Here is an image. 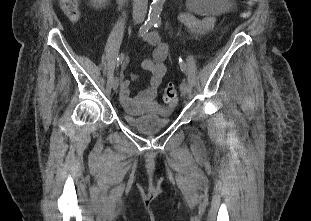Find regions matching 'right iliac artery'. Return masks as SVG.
Wrapping results in <instances>:
<instances>
[{"label": "right iliac artery", "instance_id": "82829eb1", "mask_svg": "<svg viewBox=\"0 0 311 221\" xmlns=\"http://www.w3.org/2000/svg\"><path fill=\"white\" fill-rule=\"evenodd\" d=\"M154 25V20L148 19L139 29V36H144L148 30ZM124 60V54L121 53L117 58V67L122 64Z\"/></svg>", "mask_w": 311, "mask_h": 221}]
</instances>
